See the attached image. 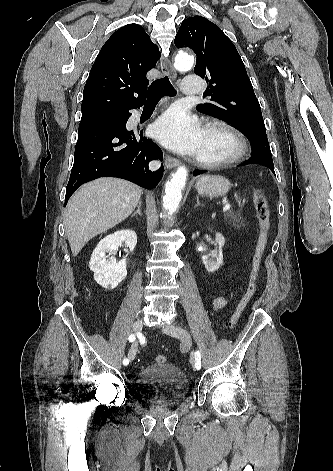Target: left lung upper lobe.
Wrapping results in <instances>:
<instances>
[{
  "label": "left lung upper lobe",
  "instance_id": "left-lung-upper-lobe-1",
  "mask_svg": "<svg viewBox=\"0 0 333 471\" xmlns=\"http://www.w3.org/2000/svg\"><path fill=\"white\" fill-rule=\"evenodd\" d=\"M176 47H189L197 55L194 73L205 78L210 103L198 111L224 120L251 140L252 155L270 153L261 107L244 63L231 40L202 16L184 20L175 37Z\"/></svg>",
  "mask_w": 333,
  "mask_h": 471
}]
</instances>
